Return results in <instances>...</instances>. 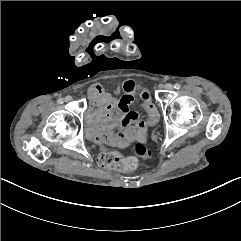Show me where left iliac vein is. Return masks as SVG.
<instances>
[{"instance_id": "left-iliac-vein-1", "label": "left iliac vein", "mask_w": 241, "mask_h": 241, "mask_svg": "<svg viewBox=\"0 0 241 241\" xmlns=\"http://www.w3.org/2000/svg\"><path fill=\"white\" fill-rule=\"evenodd\" d=\"M164 88H165L166 90H173V85L170 84V83H167V84H165Z\"/></svg>"}]
</instances>
